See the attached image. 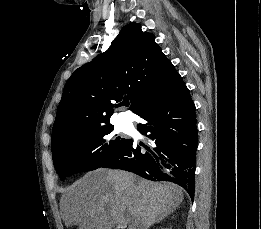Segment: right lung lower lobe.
<instances>
[{"instance_id": "right-lung-lower-lobe-1", "label": "right lung lower lobe", "mask_w": 261, "mask_h": 229, "mask_svg": "<svg viewBox=\"0 0 261 229\" xmlns=\"http://www.w3.org/2000/svg\"><path fill=\"white\" fill-rule=\"evenodd\" d=\"M147 121L137 129L152 141L146 150L133 140L102 166L133 172L153 181H169L195 192V164L198 143L195 105L181 76L154 103L138 114Z\"/></svg>"}]
</instances>
